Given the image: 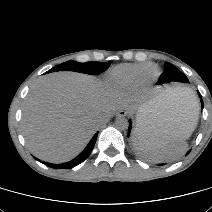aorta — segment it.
I'll return each instance as SVG.
<instances>
[{"label":"aorta","mask_w":212,"mask_h":212,"mask_svg":"<svg viewBox=\"0 0 212 212\" xmlns=\"http://www.w3.org/2000/svg\"><path fill=\"white\" fill-rule=\"evenodd\" d=\"M115 126L118 130H126L128 129L129 122L125 117L120 116L115 120Z\"/></svg>","instance_id":"obj_1"}]
</instances>
